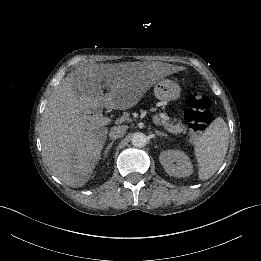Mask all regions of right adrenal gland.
Returning a JSON list of instances; mask_svg holds the SVG:
<instances>
[{"instance_id":"right-adrenal-gland-1","label":"right adrenal gland","mask_w":261,"mask_h":261,"mask_svg":"<svg viewBox=\"0 0 261 261\" xmlns=\"http://www.w3.org/2000/svg\"><path fill=\"white\" fill-rule=\"evenodd\" d=\"M112 146H113V142H111V143L107 146L106 151H105V153H104V157H106V156L108 155V152L111 150Z\"/></svg>"}]
</instances>
